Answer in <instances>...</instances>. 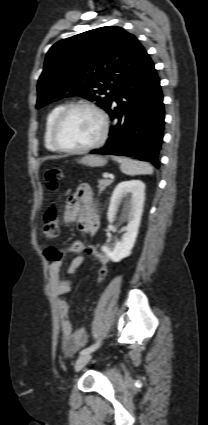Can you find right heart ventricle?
I'll return each instance as SVG.
<instances>
[{"label": "right heart ventricle", "mask_w": 208, "mask_h": 425, "mask_svg": "<svg viewBox=\"0 0 208 425\" xmlns=\"http://www.w3.org/2000/svg\"><path fill=\"white\" fill-rule=\"evenodd\" d=\"M63 108L62 105L55 106L47 115L44 125V142L45 146L50 151H57V149L53 146L51 141V127L52 124L57 116V114L60 112V110Z\"/></svg>", "instance_id": "1"}]
</instances>
